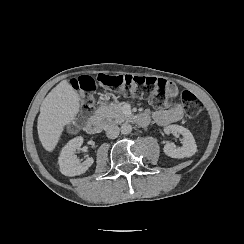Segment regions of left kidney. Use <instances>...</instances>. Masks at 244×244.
I'll use <instances>...</instances> for the list:
<instances>
[{
	"label": "left kidney",
	"instance_id": "obj_1",
	"mask_svg": "<svg viewBox=\"0 0 244 244\" xmlns=\"http://www.w3.org/2000/svg\"><path fill=\"white\" fill-rule=\"evenodd\" d=\"M183 135L182 146L176 147L175 143L171 142L164 146L163 152L166 156L175 159L190 158L197 152V144L192 133L182 126L171 125L166 128V131Z\"/></svg>",
	"mask_w": 244,
	"mask_h": 244
}]
</instances>
